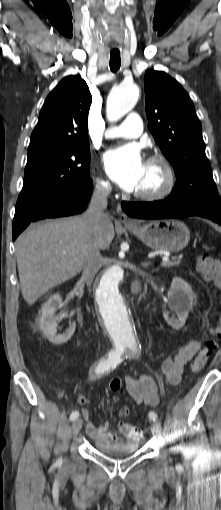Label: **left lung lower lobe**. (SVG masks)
Returning a JSON list of instances; mask_svg holds the SVG:
<instances>
[{
	"instance_id": "0a47b994",
	"label": "left lung lower lobe",
	"mask_w": 221,
	"mask_h": 510,
	"mask_svg": "<svg viewBox=\"0 0 221 510\" xmlns=\"http://www.w3.org/2000/svg\"><path fill=\"white\" fill-rule=\"evenodd\" d=\"M124 212L130 217L164 219L200 216L221 225V205L215 203L189 204L170 202L167 199L154 202H122Z\"/></svg>"
}]
</instances>
